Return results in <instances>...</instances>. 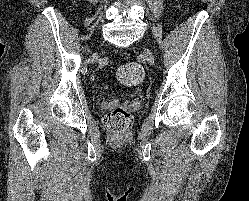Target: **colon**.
Here are the masks:
<instances>
[{
  "label": "colon",
  "mask_w": 249,
  "mask_h": 201,
  "mask_svg": "<svg viewBox=\"0 0 249 201\" xmlns=\"http://www.w3.org/2000/svg\"><path fill=\"white\" fill-rule=\"evenodd\" d=\"M143 77L144 70L137 63L124 64L117 71L118 81L125 86H135ZM104 123L113 137L122 138L126 136L132 125V115L123 106H117L106 114Z\"/></svg>",
  "instance_id": "1"
}]
</instances>
